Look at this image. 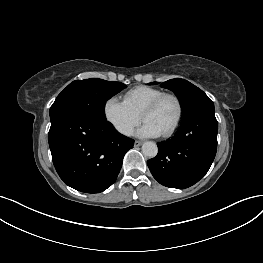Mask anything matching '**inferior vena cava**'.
<instances>
[{"label": "inferior vena cava", "mask_w": 263, "mask_h": 263, "mask_svg": "<svg viewBox=\"0 0 263 263\" xmlns=\"http://www.w3.org/2000/svg\"><path fill=\"white\" fill-rule=\"evenodd\" d=\"M132 132H133V131H132V129H130V130L128 131V133H127V134H128V135H131V134H132Z\"/></svg>", "instance_id": "inferior-vena-cava-1"}]
</instances>
